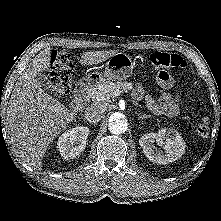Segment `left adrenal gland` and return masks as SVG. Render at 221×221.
Segmentation results:
<instances>
[{
    "mask_svg": "<svg viewBox=\"0 0 221 221\" xmlns=\"http://www.w3.org/2000/svg\"><path fill=\"white\" fill-rule=\"evenodd\" d=\"M149 117L150 115L143 114V115H140L138 119L149 118Z\"/></svg>",
    "mask_w": 221,
    "mask_h": 221,
    "instance_id": "a2214340",
    "label": "left adrenal gland"
}]
</instances>
